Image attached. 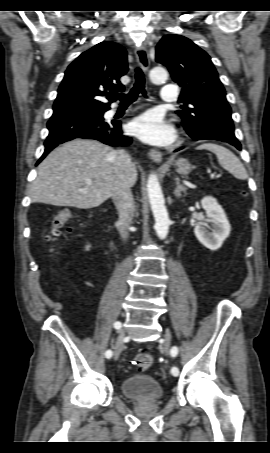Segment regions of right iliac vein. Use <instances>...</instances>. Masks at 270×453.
<instances>
[{"label":"right iliac vein","instance_id":"1","mask_svg":"<svg viewBox=\"0 0 270 453\" xmlns=\"http://www.w3.org/2000/svg\"><path fill=\"white\" fill-rule=\"evenodd\" d=\"M123 344H124V333H120V335L117 338L115 348H114V359L117 360L122 349H123Z\"/></svg>","mask_w":270,"mask_h":453}]
</instances>
